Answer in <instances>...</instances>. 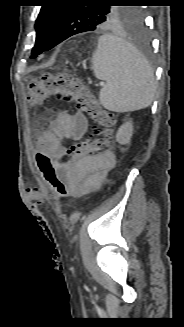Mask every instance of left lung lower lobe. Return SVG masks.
I'll use <instances>...</instances> for the list:
<instances>
[{"label": "left lung lower lobe", "instance_id": "0a47b994", "mask_svg": "<svg viewBox=\"0 0 184 327\" xmlns=\"http://www.w3.org/2000/svg\"><path fill=\"white\" fill-rule=\"evenodd\" d=\"M76 31V30H75ZM133 41L136 44V47L143 53L149 54L152 50L150 36L146 29L145 24L141 21L136 26L132 27L130 30ZM78 34V32H72L70 30H66L63 24L61 23L57 30L55 31L51 41L49 42L48 46L44 51H48L51 48L55 47L57 44L61 43L62 41L66 40L68 37Z\"/></svg>", "mask_w": 184, "mask_h": 327}]
</instances>
